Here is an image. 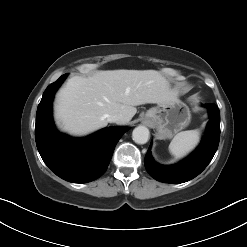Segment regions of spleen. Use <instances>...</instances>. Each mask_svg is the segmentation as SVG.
<instances>
[{"label":"spleen","instance_id":"3e777b00","mask_svg":"<svg viewBox=\"0 0 247 247\" xmlns=\"http://www.w3.org/2000/svg\"><path fill=\"white\" fill-rule=\"evenodd\" d=\"M199 140V129L182 131L174 136L169 151L175 158H183L197 146Z\"/></svg>","mask_w":247,"mask_h":247}]
</instances>
